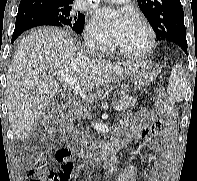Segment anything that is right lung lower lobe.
I'll return each mask as SVG.
<instances>
[{
  "label": "right lung lower lobe",
  "mask_w": 197,
  "mask_h": 181,
  "mask_svg": "<svg viewBox=\"0 0 197 181\" xmlns=\"http://www.w3.org/2000/svg\"><path fill=\"white\" fill-rule=\"evenodd\" d=\"M36 26L62 27L58 19L47 14L44 11L28 6H19L16 17L15 30L11 43H13L24 31Z\"/></svg>",
  "instance_id": "1"
}]
</instances>
